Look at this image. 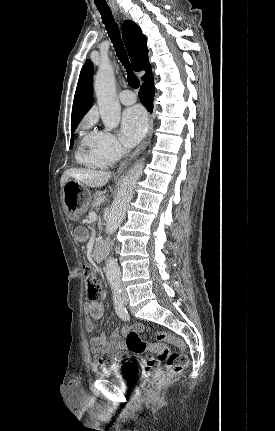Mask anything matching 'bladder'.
I'll return each mask as SVG.
<instances>
[{"mask_svg": "<svg viewBox=\"0 0 275 431\" xmlns=\"http://www.w3.org/2000/svg\"><path fill=\"white\" fill-rule=\"evenodd\" d=\"M133 368L130 364H117L109 367L106 371L99 373L100 377H115L124 383H127V375Z\"/></svg>", "mask_w": 275, "mask_h": 431, "instance_id": "obj_1", "label": "bladder"}]
</instances>
